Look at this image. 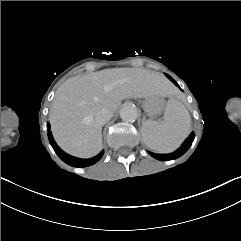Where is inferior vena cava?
<instances>
[{
  "label": "inferior vena cava",
  "mask_w": 241,
  "mask_h": 241,
  "mask_svg": "<svg viewBox=\"0 0 241 241\" xmlns=\"http://www.w3.org/2000/svg\"><path fill=\"white\" fill-rule=\"evenodd\" d=\"M112 116L113 113L111 111L102 109L96 114L95 120L99 125H104Z\"/></svg>",
  "instance_id": "inferior-vena-cava-1"
}]
</instances>
